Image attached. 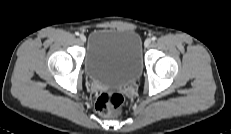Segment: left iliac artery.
I'll return each instance as SVG.
<instances>
[{
	"instance_id": "44dca946",
	"label": "left iliac artery",
	"mask_w": 231,
	"mask_h": 134,
	"mask_svg": "<svg viewBox=\"0 0 231 134\" xmlns=\"http://www.w3.org/2000/svg\"><path fill=\"white\" fill-rule=\"evenodd\" d=\"M151 39H152V41H155V40H156V37H155V36H153Z\"/></svg>"
}]
</instances>
